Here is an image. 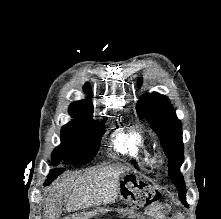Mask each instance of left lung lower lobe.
<instances>
[{"label":"left lung lower lobe","mask_w":221,"mask_h":219,"mask_svg":"<svg viewBox=\"0 0 221 219\" xmlns=\"http://www.w3.org/2000/svg\"><path fill=\"white\" fill-rule=\"evenodd\" d=\"M182 203L185 205V203L183 202V200L181 199Z\"/></svg>","instance_id":"0a47b994"}]
</instances>
